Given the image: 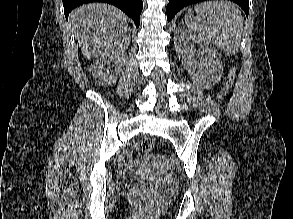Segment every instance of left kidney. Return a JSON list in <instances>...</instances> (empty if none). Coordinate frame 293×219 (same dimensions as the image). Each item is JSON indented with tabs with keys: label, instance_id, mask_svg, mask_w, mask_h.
Masks as SVG:
<instances>
[{
	"label": "left kidney",
	"instance_id": "obj_1",
	"mask_svg": "<svg viewBox=\"0 0 293 219\" xmlns=\"http://www.w3.org/2000/svg\"><path fill=\"white\" fill-rule=\"evenodd\" d=\"M185 39L193 40L200 47L195 51L187 46ZM175 48L183 66L202 89H208L220 81L223 65L217 50L210 43L195 36L184 28H177L174 37ZM198 56L199 60L195 59Z\"/></svg>",
	"mask_w": 293,
	"mask_h": 219
}]
</instances>
